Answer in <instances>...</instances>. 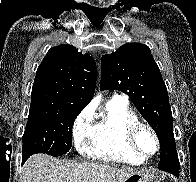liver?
<instances>
[{"mask_svg": "<svg viewBox=\"0 0 196 182\" xmlns=\"http://www.w3.org/2000/svg\"><path fill=\"white\" fill-rule=\"evenodd\" d=\"M137 169L101 163L61 161L37 154L25 163L22 182H125Z\"/></svg>", "mask_w": 196, "mask_h": 182, "instance_id": "liver-1", "label": "liver"}]
</instances>
